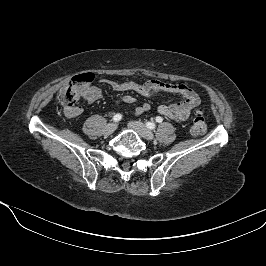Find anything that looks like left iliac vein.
Returning <instances> with one entry per match:
<instances>
[{"mask_svg":"<svg viewBox=\"0 0 266 266\" xmlns=\"http://www.w3.org/2000/svg\"><path fill=\"white\" fill-rule=\"evenodd\" d=\"M129 127L135 130L141 137L152 140L154 139V134L149 130L143 123L139 121L129 122Z\"/></svg>","mask_w":266,"mask_h":266,"instance_id":"left-iliac-vein-1","label":"left iliac vein"}]
</instances>
